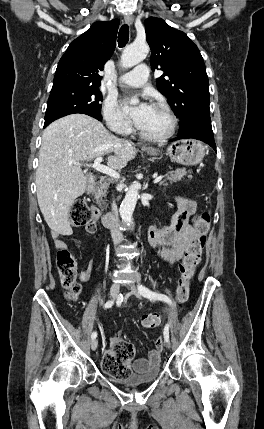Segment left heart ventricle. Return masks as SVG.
I'll use <instances>...</instances> for the list:
<instances>
[{
    "label": "left heart ventricle",
    "mask_w": 264,
    "mask_h": 429,
    "mask_svg": "<svg viewBox=\"0 0 264 429\" xmlns=\"http://www.w3.org/2000/svg\"><path fill=\"white\" fill-rule=\"evenodd\" d=\"M169 124V119L162 110L151 107L148 115L138 127L146 135L159 136L168 130Z\"/></svg>",
    "instance_id": "obj_1"
}]
</instances>
